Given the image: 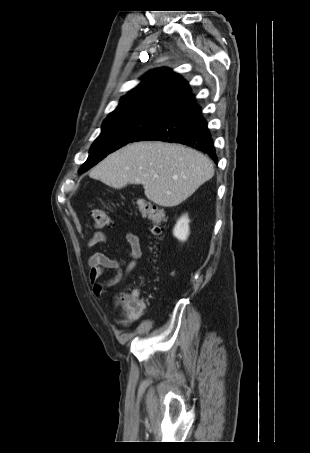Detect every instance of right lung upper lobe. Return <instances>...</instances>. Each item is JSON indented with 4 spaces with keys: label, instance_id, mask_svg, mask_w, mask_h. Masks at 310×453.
<instances>
[{
    "label": "right lung upper lobe",
    "instance_id": "right-lung-upper-lobe-1",
    "mask_svg": "<svg viewBox=\"0 0 310 453\" xmlns=\"http://www.w3.org/2000/svg\"><path fill=\"white\" fill-rule=\"evenodd\" d=\"M191 94L189 84L169 68L147 73L142 82L124 95L118 107L109 114L160 116L174 103Z\"/></svg>",
    "mask_w": 310,
    "mask_h": 453
}]
</instances>
